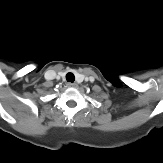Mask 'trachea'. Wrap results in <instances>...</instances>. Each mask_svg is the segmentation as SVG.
Returning a JSON list of instances; mask_svg holds the SVG:
<instances>
[{
    "mask_svg": "<svg viewBox=\"0 0 163 163\" xmlns=\"http://www.w3.org/2000/svg\"><path fill=\"white\" fill-rule=\"evenodd\" d=\"M66 80H67L68 82L73 83V82L75 81V76H74V74L71 73V72L67 73V74H66Z\"/></svg>",
    "mask_w": 163,
    "mask_h": 163,
    "instance_id": "1",
    "label": "trachea"
}]
</instances>
